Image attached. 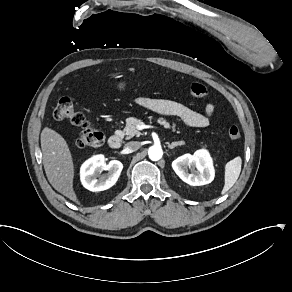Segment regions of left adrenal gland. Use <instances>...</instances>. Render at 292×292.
<instances>
[{
    "mask_svg": "<svg viewBox=\"0 0 292 292\" xmlns=\"http://www.w3.org/2000/svg\"><path fill=\"white\" fill-rule=\"evenodd\" d=\"M166 144H168V148L173 149L176 146L184 145L185 142L184 141H177V142H172L171 144L167 142Z\"/></svg>",
    "mask_w": 292,
    "mask_h": 292,
    "instance_id": "left-adrenal-gland-1",
    "label": "left adrenal gland"
}]
</instances>
